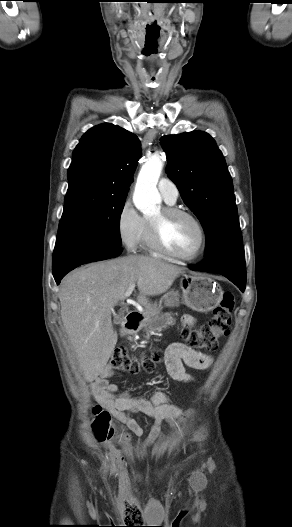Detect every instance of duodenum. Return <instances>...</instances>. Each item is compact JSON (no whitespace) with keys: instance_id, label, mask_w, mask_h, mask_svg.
I'll list each match as a JSON object with an SVG mask.
<instances>
[{"instance_id":"obj_1","label":"duodenum","mask_w":292,"mask_h":527,"mask_svg":"<svg viewBox=\"0 0 292 527\" xmlns=\"http://www.w3.org/2000/svg\"><path fill=\"white\" fill-rule=\"evenodd\" d=\"M140 322V315L137 312L129 313L122 324V333L124 335L133 333L137 330Z\"/></svg>"}]
</instances>
